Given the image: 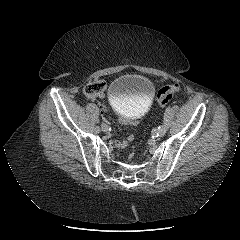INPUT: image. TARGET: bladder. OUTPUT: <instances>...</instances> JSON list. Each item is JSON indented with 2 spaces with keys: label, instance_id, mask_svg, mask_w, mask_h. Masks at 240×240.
Wrapping results in <instances>:
<instances>
[{
  "label": "bladder",
  "instance_id": "obj_1",
  "mask_svg": "<svg viewBox=\"0 0 240 240\" xmlns=\"http://www.w3.org/2000/svg\"><path fill=\"white\" fill-rule=\"evenodd\" d=\"M155 94L153 82L139 74L117 77L108 88V97L114 110L124 120H133L150 107Z\"/></svg>",
  "mask_w": 240,
  "mask_h": 240
}]
</instances>
